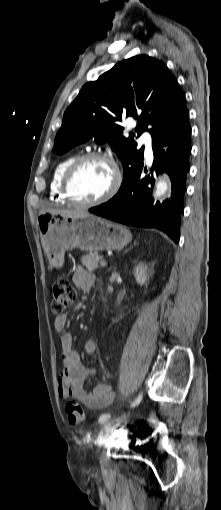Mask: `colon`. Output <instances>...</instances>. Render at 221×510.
<instances>
[{
    "instance_id": "obj_1",
    "label": "colon",
    "mask_w": 221,
    "mask_h": 510,
    "mask_svg": "<svg viewBox=\"0 0 221 510\" xmlns=\"http://www.w3.org/2000/svg\"><path fill=\"white\" fill-rule=\"evenodd\" d=\"M76 298L77 290L68 279H56L53 285L52 312L54 314H61L75 302ZM66 413L70 424L79 426L85 424V412L76 401L70 400L66 403Z\"/></svg>"
}]
</instances>
